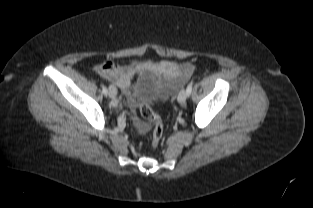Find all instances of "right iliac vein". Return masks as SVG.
Segmentation results:
<instances>
[{
    "label": "right iliac vein",
    "mask_w": 313,
    "mask_h": 208,
    "mask_svg": "<svg viewBox=\"0 0 313 208\" xmlns=\"http://www.w3.org/2000/svg\"><path fill=\"white\" fill-rule=\"evenodd\" d=\"M109 96L114 99L117 96V89L114 85H110L109 86V92H108Z\"/></svg>",
    "instance_id": "63e3f726"
}]
</instances>
